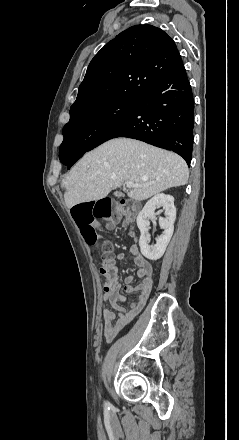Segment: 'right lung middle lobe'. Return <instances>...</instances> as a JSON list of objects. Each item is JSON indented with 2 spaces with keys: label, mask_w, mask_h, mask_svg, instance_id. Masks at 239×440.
Returning <instances> with one entry per match:
<instances>
[{
  "label": "right lung middle lobe",
  "mask_w": 239,
  "mask_h": 440,
  "mask_svg": "<svg viewBox=\"0 0 239 440\" xmlns=\"http://www.w3.org/2000/svg\"><path fill=\"white\" fill-rule=\"evenodd\" d=\"M136 100L133 97H115L70 116V121L63 128L64 140L59 152L68 147L87 149L98 135L121 120Z\"/></svg>",
  "instance_id": "obj_1"
}]
</instances>
